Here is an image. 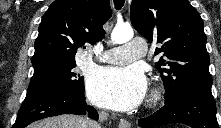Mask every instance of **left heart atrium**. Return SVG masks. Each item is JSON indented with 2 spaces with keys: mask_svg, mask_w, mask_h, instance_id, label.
I'll use <instances>...</instances> for the list:
<instances>
[{
  "mask_svg": "<svg viewBox=\"0 0 221 128\" xmlns=\"http://www.w3.org/2000/svg\"><path fill=\"white\" fill-rule=\"evenodd\" d=\"M88 96L99 106L128 111L141 104L146 93V78L138 66L107 67L88 78Z\"/></svg>",
  "mask_w": 221,
  "mask_h": 128,
  "instance_id": "obj_1",
  "label": "left heart atrium"
}]
</instances>
